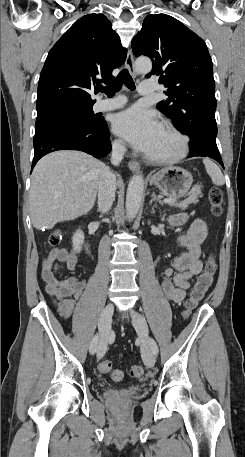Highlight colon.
<instances>
[{"label":"colon","instance_id":"colon-1","mask_svg":"<svg viewBox=\"0 0 245 457\" xmlns=\"http://www.w3.org/2000/svg\"><path fill=\"white\" fill-rule=\"evenodd\" d=\"M209 202L211 205L212 214L216 217L222 213L223 195L222 192L217 189H211L209 193ZM63 238V234L60 230H54L48 236V244L51 246L58 245ZM217 270V264L213 256H209L205 262L204 269L199 274L193 288L190 291L189 297L186 301L185 315L188 316L197 305L204 299L205 295L211 288L214 280V275ZM98 368L102 373H111V378L114 381H119L123 377V372L118 369L112 370L111 362L107 359L102 360ZM128 374L131 378L140 379L144 375V367L140 364L132 365Z\"/></svg>","mask_w":245,"mask_h":457}]
</instances>
